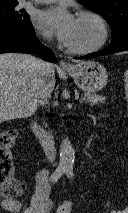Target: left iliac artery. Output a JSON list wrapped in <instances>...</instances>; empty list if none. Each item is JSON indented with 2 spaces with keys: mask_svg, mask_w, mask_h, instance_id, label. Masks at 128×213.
I'll return each instance as SVG.
<instances>
[{
  "mask_svg": "<svg viewBox=\"0 0 128 213\" xmlns=\"http://www.w3.org/2000/svg\"><path fill=\"white\" fill-rule=\"evenodd\" d=\"M65 172L69 178H72L73 177V166L72 165L66 166Z\"/></svg>",
  "mask_w": 128,
  "mask_h": 213,
  "instance_id": "44dca946",
  "label": "left iliac artery"
}]
</instances>
